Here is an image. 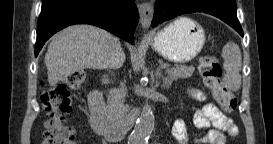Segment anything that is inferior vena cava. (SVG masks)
Returning <instances> with one entry per match:
<instances>
[{
	"label": "inferior vena cava",
	"instance_id": "602c4592",
	"mask_svg": "<svg viewBox=\"0 0 273 144\" xmlns=\"http://www.w3.org/2000/svg\"><path fill=\"white\" fill-rule=\"evenodd\" d=\"M121 54V45L116 37L111 38V42L104 55V60L107 69H113L114 63L117 61Z\"/></svg>",
	"mask_w": 273,
	"mask_h": 144
}]
</instances>
